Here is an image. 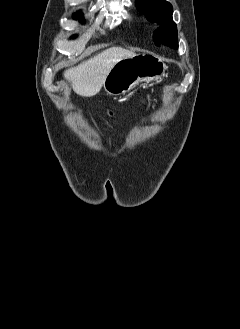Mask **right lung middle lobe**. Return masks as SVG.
<instances>
[{"label": "right lung middle lobe", "mask_w": 240, "mask_h": 329, "mask_svg": "<svg viewBox=\"0 0 240 329\" xmlns=\"http://www.w3.org/2000/svg\"><path fill=\"white\" fill-rule=\"evenodd\" d=\"M73 18L74 19H79V20H83V14L82 13H76V14H74V16H73Z\"/></svg>", "instance_id": "1"}]
</instances>
